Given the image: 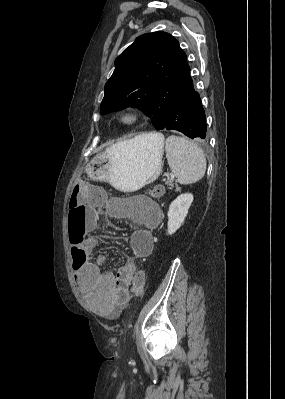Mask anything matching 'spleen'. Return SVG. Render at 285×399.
Masks as SVG:
<instances>
[{
    "instance_id": "obj_1",
    "label": "spleen",
    "mask_w": 285,
    "mask_h": 399,
    "mask_svg": "<svg viewBox=\"0 0 285 399\" xmlns=\"http://www.w3.org/2000/svg\"><path fill=\"white\" fill-rule=\"evenodd\" d=\"M166 158L180 184L201 180L206 171V158L202 149L187 138L171 135L166 140Z\"/></svg>"
}]
</instances>
